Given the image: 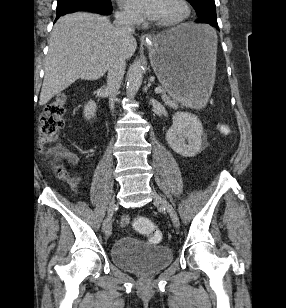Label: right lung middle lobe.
Masks as SVG:
<instances>
[{"label": "right lung middle lobe", "instance_id": "dd1d6c3e", "mask_svg": "<svg viewBox=\"0 0 286 308\" xmlns=\"http://www.w3.org/2000/svg\"><path fill=\"white\" fill-rule=\"evenodd\" d=\"M73 5H97L101 7L112 6L110 0H57V9Z\"/></svg>", "mask_w": 286, "mask_h": 308}]
</instances>
